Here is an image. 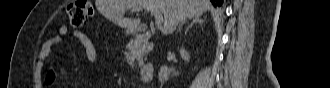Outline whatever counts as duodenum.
<instances>
[{
	"mask_svg": "<svg viewBox=\"0 0 330 88\" xmlns=\"http://www.w3.org/2000/svg\"><path fill=\"white\" fill-rule=\"evenodd\" d=\"M148 39V32L147 30H142V29H138L135 32V37L132 43V46H137L140 45L141 43L145 42ZM153 65L152 64H147L144 66L143 70H142V74L144 76H148L149 74L152 73L153 71Z\"/></svg>",
	"mask_w": 330,
	"mask_h": 88,
	"instance_id": "410a0bca",
	"label": "duodenum"
}]
</instances>
